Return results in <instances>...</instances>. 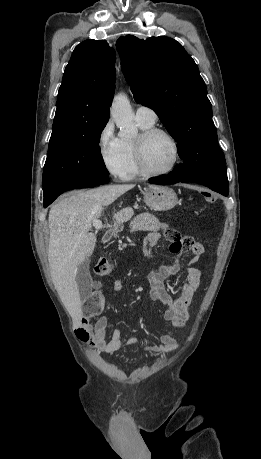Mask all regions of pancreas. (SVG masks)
Masks as SVG:
<instances>
[{"mask_svg": "<svg viewBox=\"0 0 261 459\" xmlns=\"http://www.w3.org/2000/svg\"><path fill=\"white\" fill-rule=\"evenodd\" d=\"M167 225L161 223L154 215L151 213H143L136 216L130 222V232L136 231H159L161 228H166Z\"/></svg>", "mask_w": 261, "mask_h": 459, "instance_id": "pancreas-1", "label": "pancreas"}]
</instances>
